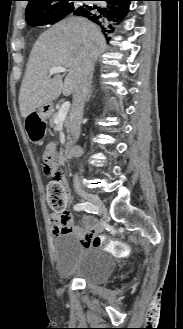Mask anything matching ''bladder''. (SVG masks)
<instances>
[{
  "mask_svg": "<svg viewBox=\"0 0 183 329\" xmlns=\"http://www.w3.org/2000/svg\"><path fill=\"white\" fill-rule=\"evenodd\" d=\"M52 252L58 274L67 279L102 284L111 275L114 263L100 247L84 248L75 234H59L52 242Z\"/></svg>",
  "mask_w": 183,
  "mask_h": 329,
  "instance_id": "31cf9c89",
  "label": "bladder"
}]
</instances>
